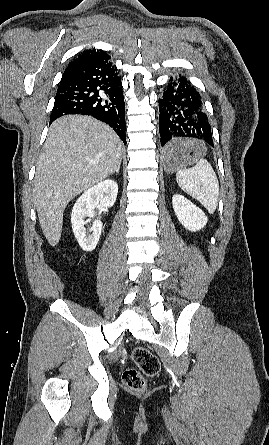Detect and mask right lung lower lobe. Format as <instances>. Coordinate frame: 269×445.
<instances>
[{
	"label": "right lung lower lobe",
	"mask_w": 269,
	"mask_h": 445,
	"mask_svg": "<svg viewBox=\"0 0 269 445\" xmlns=\"http://www.w3.org/2000/svg\"><path fill=\"white\" fill-rule=\"evenodd\" d=\"M67 114L90 115L107 123L126 144L122 83L109 55L95 58L62 76L50 124Z\"/></svg>",
	"instance_id": "98d812e1"
}]
</instances>
